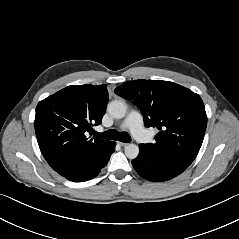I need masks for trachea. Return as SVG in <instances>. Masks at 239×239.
I'll use <instances>...</instances> for the list:
<instances>
[{"mask_svg":"<svg viewBox=\"0 0 239 239\" xmlns=\"http://www.w3.org/2000/svg\"><path fill=\"white\" fill-rule=\"evenodd\" d=\"M95 136L100 137V138L109 139V140H119L124 143L131 142V137L128 133H125V132L118 133L116 130H113V129H110L103 133L96 132Z\"/></svg>","mask_w":239,"mask_h":239,"instance_id":"3493384b","label":"trachea"}]
</instances>
